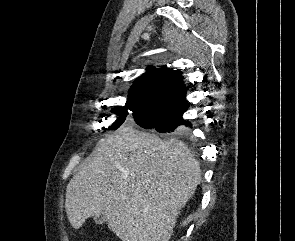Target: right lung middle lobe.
<instances>
[{"label":"right lung middle lobe","instance_id":"dd1d6c3e","mask_svg":"<svg viewBox=\"0 0 295 241\" xmlns=\"http://www.w3.org/2000/svg\"><path fill=\"white\" fill-rule=\"evenodd\" d=\"M127 110L132 111L135 122L143 128H146L156 121L163 120L167 117V115L164 113L145 110L135 105L126 103L124 107H119L116 110H112V113L116 115L117 119L110 126H108L106 130H116L122 126L129 114Z\"/></svg>","mask_w":295,"mask_h":241}]
</instances>
